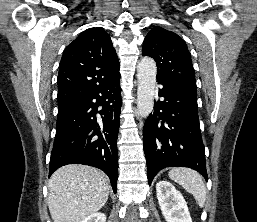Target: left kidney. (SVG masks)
Listing matches in <instances>:
<instances>
[{"label": "left kidney", "instance_id": "1", "mask_svg": "<svg viewBox=\"0 0 257 222\" xmlns=\"http://www.w3.org/2000/svg\"><path fill=\"white\" fill-rule=\"evenodd\" d=\"M156 192L161 212L167 222H192L186 201L170 182L159 181Z\"/></svg>", "mask_w": 257, "mask_h": 222}]
</instances>
